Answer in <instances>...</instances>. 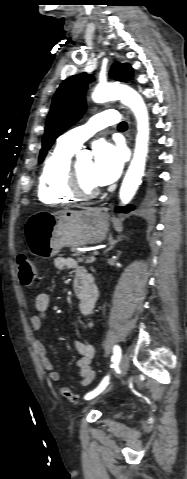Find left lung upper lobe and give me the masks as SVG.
Masks as SVG:
<instances>
[{"label": "left lung upper lobe", "mask_w": 187, "mask_h": 479, "mask_svg": "<svg viewBox=\"0 0 187 479\" xmlns=\"http://www.w3.org/2000/svg\"><path fill=\"white\" fill-rule=\"evenodd\" d=\"M110 76L118 81H128L133 77L132 68L128 63H115ZM92 80L93 77L85 73L74 75L64 80L57 89L46 121L39 163L43 162L55 139L77 122L85 112V93L88 83Z\"/></svg>", "instance_id": "obj_1"}]
</instances>
